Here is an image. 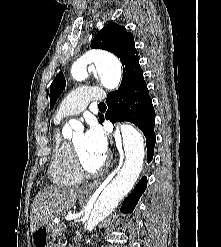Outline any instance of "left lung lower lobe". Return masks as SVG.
<instances>
[{
    "instance_id": "0a47b994",
    "label": "left lung lower lobe",
    "mask_w": 221,
    "mask_h": 247,
    "mask_svg": "<svg viewBox=\"0 0 221 247\" xmlns=\"http://www.w3.org/2000/svg\"><path fill=\"white\" fill-rule=\"evenodd\" d=\"M148 89L138 90L129 95L110 93L106 102L108 110L105 118L114 122L130 121L135 124L145 135L147 147V159L153 158L156 137L154 134L155 115L152 99L148 95ZM101 122L104 116H99ZM147 179L143 177L131 194L124 200L121 212L132 213L139 198L146 189Z\"/></svg>"
}]
</instances>
